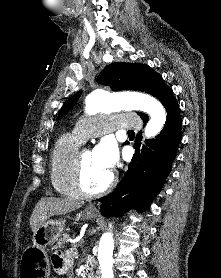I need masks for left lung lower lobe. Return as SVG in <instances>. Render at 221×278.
I'll return each instance as SVG.
<instances>
[{
    "label": "left lung lower lobe",
    "mask_w": 221,
    "mask_h": 278,
    "mask_svg": "<svg viewBox=\"0 0 221 278\" xmlns=\"http://www.w3.org/2000/svg\"><path fill=\"white\" fill-rule=\"evenodd\" d=\"M166 111L165 127L160 134L156 139L146 140V145L136 144L138 152L121 182L113 192L99 199L104 216H122L131 208L143 212L161 191L181 142L182 120L176 99ZM147 121L148 118L143 119L144 124Z\"/></svg>",
    "instance_id": "left-lung-lower-lobe-1"
}]
</instances>
